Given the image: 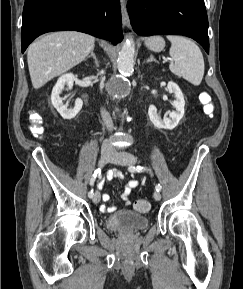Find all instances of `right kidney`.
I'll use <instances>...</instances> for the list:
<instances>
[{"mask_svg":"<svg viewBox=\"0 0 243 289\" xmlns=\"http://www.w3.org/2000/svg\"><path fill=\"white\" fill-rule=\"evenodd\" d=\"M75 77L72 73H67L62 75L58 80L55 86L53 87L51 94L52 105L56 108L59 114L63 119L70 120L74 118L81 110L83 101L81 99H76L75 106L71 109L67 105L63 104V100L60 97V94L64 90V86L67 85L69 89L72 88Z\"/></svg>","mask_w":243,"mask_h":289,"instance_id":"obj_1","label":"right kidney"}]
</instances>
